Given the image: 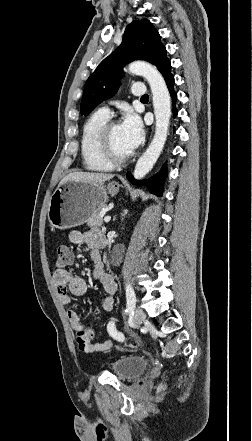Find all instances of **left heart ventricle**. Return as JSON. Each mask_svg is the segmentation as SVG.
<instances>
[{
  "label": "left heart ventricle",
  "instance_id": "1",
  "mask_svg": "<svg viewBox=\"0 0 252 441\" xmlns=\"http://www.w3.org/2000/svg\"><path fill=\"white\" fill-rule=\"evenodd\" d=\"M109 143L112 153L115 156L124 157L129 154L124 145L120 125L112 128L109 136Z\"/></svg>",
  "mask_w": 252,
  "mask_h": 441
}]
</instances>
